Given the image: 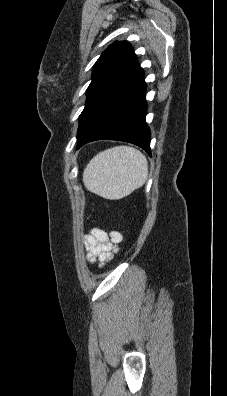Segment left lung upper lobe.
<instances>
[{"label":"left lung upper lobe","mask_w":227,"mask_h":396,"mask_svg":"<svg viewBox=\"0 0 227 396\" xmlns=\"http://www.w3.org/2000/svg\"><path fill=\"white\" fill-rule=\"evenodd\" d=\"M136 55L127 41L111 44L93 66L92 81L86 91L85 108L79 117L78 134L95 106L138 68Z\"/></svg>","instance_id":"left-lung-upper-lobe-1"}]
</instances>
